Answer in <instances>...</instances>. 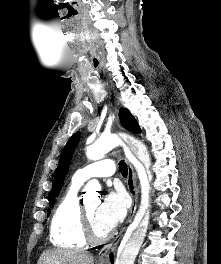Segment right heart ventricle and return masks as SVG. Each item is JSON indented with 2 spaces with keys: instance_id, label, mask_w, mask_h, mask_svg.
Listing matches in <instances>:
<instances>
[{
  "instance_id": "1",
  "label": "right heart ventricle",
  "mask_w": 221,
  "mask_h": 264,
  "mask_svg": "<svg viewBox=\"0 0 221 264\" xmlns=\"http://www.w3.org/2000/svg\"><path fill=\"white\" fill-rule=\"evenodd\" d=\"M80 184L72 181L53 213L50 225V240L54 246L79 249L86 245L80 223Z\"/></svg>"
}]
</instances>
